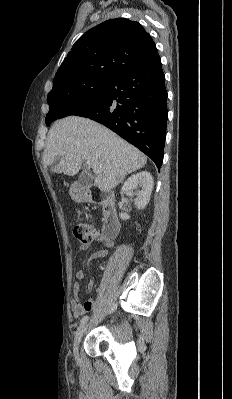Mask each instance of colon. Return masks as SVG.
Segmentation results:
<instances>
[{"instance_id":"5ec220e1","label":"colon","mask_w":232,"mask_h":399,"mask_svg":"<svg viewBox=\"0 0 232 399\" xmlns=\"http://www.w3.org/2000/svg\"><path fill=\"white\" fill-rule=\"evenodd\" d=\"M70 236L80 240L81 244H90L93 240V226L91 222H74V231H70Z\"/></svg>"}]
</instances>
